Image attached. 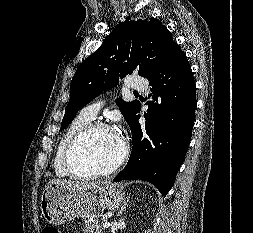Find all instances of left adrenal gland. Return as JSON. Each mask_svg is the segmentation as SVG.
Masks as SVG:
<instances>
[{
    "instance_id": "left-adrenal-gland-1",
    "label": "left adrenal gland",
    "mask_w": 253,
    "mask_h": 233,
    "mask_svg": "<svg viewBox=\"0 0 253 233\" xmlns=\"http://www.w3.org/2000/svg\"><path fill=\"white\" fill-rule=\"evenodd\" d=\"M129 202V198H127V200L123 203L122 207L120 208V210L117 213V216H120L126 209L127 205Z\"/></svg>"
}]
</instances>
